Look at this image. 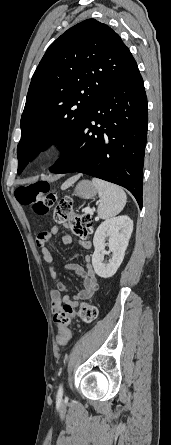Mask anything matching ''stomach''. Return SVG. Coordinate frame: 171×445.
Returning a JSON list of instances; mask_svg holds the SVG:
<instances>
[{"label": "stomach", "mask_w": 171, "mask_h": 445, "mask_svg": "<svg viewBox=\"0 0 171 445\" xmlns=\"http://www.w3.org/2000/svg\"><path fill=\"white\" fill-rule=\"evenodd\" d=\"M75 196L84 199H91L97 194V189L89 180L80 181L73 193Z\"/></svg>", "instance_id": "0dacf381"}]
</instances>
